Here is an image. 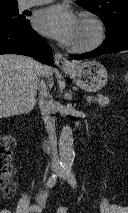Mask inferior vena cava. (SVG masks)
Wrapping results in <instances>:
<instances>
[{
    "mask_svg": "<svg viewBox=\"0 0 128 213\" xmlns=\"http://www.w3.org/2000/svg\"><path fill=\"white\" fill-rule=\"evenodd\" d=\"M48 71V67L44 66L41 70V76L46 77ZM39 108L41 111V115L46 127V131L48 133V138L50 141V145L52 147V159L51 165L55 168L60 166V160L57 153V141H56V133H55V118L52 116L54 113V101L48 91L47 85L42 80L39 83V100H38Z\"/></svg>",
    "mask_w": 128,
    "mask_h": 213,
    "instance_id": "obj_1",
    "label": "inferior vena cava"
}]
</instances>
